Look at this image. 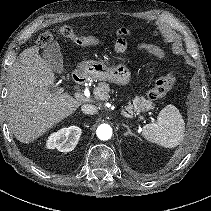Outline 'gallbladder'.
<instances>
[{"mask_svg": "<svg viewBox=\"0 0 211 211\" xmlns=\"http://www.w3.org/2000/svg\"><path fill=\"white\" fill-rule=\"evenodd\" d=\"M43 59L55 72H62L63 57L60 52V47L57 42L49 44L43 51Z\"/></svg>", "mask_w": 211, "mask_h": 211, "instance_id": "gallbladder-1", "label": "gallbladder"}]
</instances>
